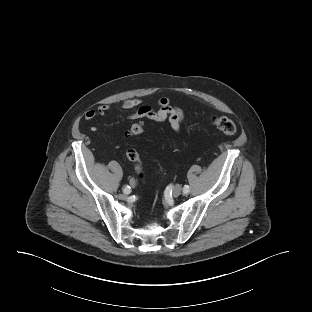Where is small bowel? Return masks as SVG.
<instances>
[{
	"label": "small bowel",
	"instance_id": "small-bowel-1",
	"mask_svg": "<svg viewBox=\"0 0 312 312\" xmlns=\"http://www.w3.org/2000/svg\"><path fill=\"white\" fill-rule=\"evenodd\" d=\"M158 108L155 109L150 105L142 104V100L138 98L126 99L118 104L119 108L123 110L136 109L134 113L129 116V119L135 120L139 118H146L156 122H163L168 120L171 128L174 131H179L184 118V113L181 108L171 103L166 96L160 97L157 101ZM111 107L109 105H100L97 109H90L85 113V119L91 121L97 116L105 115Z\"/></svg>",
	"mask_w": 312,
	"mask_h": 312
}]
</instances>
